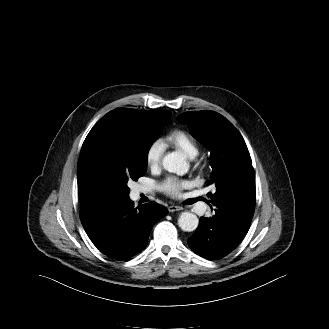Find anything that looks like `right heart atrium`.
<instances>
[{
	"label": "right heart atrium",
	"instance_id": "d8ad5b80",
	"mask_svg": "<svg viewBox=\"0 0 329 329\" xmlns=\"http://www.w3.org/2000/svg\"><path fill=\"white\" fill-rule=\"evenodd\" d=\"M165 144L161 139L153 140L147 147L145 153L146 164L150 168L157 167L162 159Z\"/></svg>",
	"mask_w": 329,
	"mask_h": 329
}]
</instances>
